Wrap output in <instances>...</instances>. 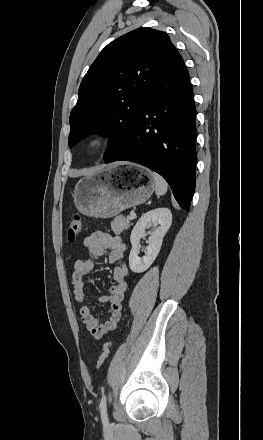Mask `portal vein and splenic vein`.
I'll return each mask as SVG.
<instances>
[{
  "label": "portal vein and splenic vein",
  "mask_w": 263,
  "mask_h": 440,
  "mask_svg": "<svg viewBox=\"0 0 263 440\" xmlns=\"http://www.w3.org/2000/svg\"><path fill=\"white\" fill-rule=\"evenodd\" d=\"M136 217V213L133 211V212H131L129 215H128V219L129 220H133L134 218Z\"/></svg>",
  "instance_id": "18ae733b"
}]
</instances>
